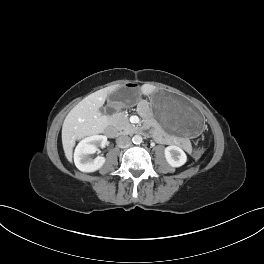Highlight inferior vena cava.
Returning <instances> with one entry per match:
<instances>
[{"mask_svg": "<svg viewBox=\"0 0 264 264\" xmlns=\"http://www.w3.org/2000/svg\"><path fill=\"white\" fill-rule=\"evenodd\" d=\"M117 146L120 148H127L131 145V138L128 136H120L116 140Z\"/></svg>", "mask_w": 264, "mask_h": 264, "instance_id": "obj_1", "label": "inferior vena cava"}]
</instances>
